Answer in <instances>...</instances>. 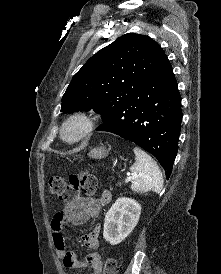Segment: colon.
<instances>
[{"label": "colon", "mask_w": 221, "mask_h": 274, "mask_svg": "<svg viewBox=\"0 0 221 274\" xmlns=\"http://www.w3.org/2000/svg\"><path fill=\"white\" fill-rule=\"evenodd\" d=\"M50 192L56 195L62 202L74 201L81 192L93 195L97 188V180L90 174L71 175L68 179L60 175L49 177ZM118 265L113 257H108L103 266V274H117Z\"/></svg>", "instance_id": "colon-1"}]
</instances>
